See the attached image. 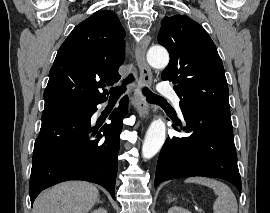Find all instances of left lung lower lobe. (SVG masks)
I'll return each mask as SVG.
<instances>
[{"label":"left lung lower lobe","instance_id":"0a47b994","mask_svg":"<svg viewBox=\"0 0 270 213\" xmlns=\"http://www.w3.org/2000/svg\"><path fill=\"white\" fill-rule=\"evenodd\" d=\"M181 110L186 121V127L181 130L190 135L167 138L158 158L155 187L170 179L204 176L227 180L241 193L230 112ZM174 129L181 131L177 127Z\"/></svg>","mask_w":270,"mask_h":213}]
</instances>
